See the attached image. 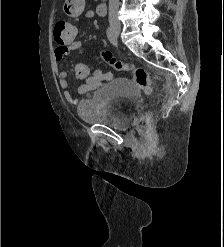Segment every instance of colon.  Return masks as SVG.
Wrapping results in <instances>:
<instances>
[{
  "label": "colon",
  "instance_id": "1",
  "mask_svg": "<svg viewBox=\"0 0 224 247\" xmlns=\"http://www.w3.org/2000/svg\"><path fill=\"white\" fill-rule=\"evenodd\" d=\"M77 36V28L70 22L65 20H59L54 26V38L61 42H67L75 40ZM102 59L113 66L118 71H128L134 80V82L146 93L151 91V79L147 71L134 64H128L123 61L117 60L110 51H102ZM76 73L79 77H87L89 74L88 69L85 66H78ZM94 84L98 83V80H93ZM147 126V120H141L138 124V129L143 131Z\"/></svg>",
  "mask_w": 224,
  "mask_h": 247
}]
</instances>
